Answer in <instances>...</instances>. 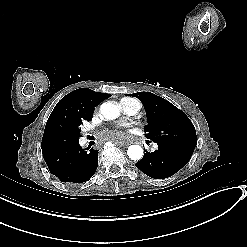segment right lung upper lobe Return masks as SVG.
Here are the masks:
<instances>
[{
	"label": "right lung upper lobe",
	"mask_w": 247,
	"mask_h": 247,
	"mask_svg": "<svg viewBox=\"0 0 247 247\" xmlns=\"http://www.w3.org/2000/svg\"><path fill=\"white\" fill-rule=\"evenodd\" d=\"M109 96L110 94L88 88L76 89L64 96L47 120L41 143L42 151L55 136L79 129L84 120L90 121L94 108Z\"/></svg>",
	"instance_id": "cb5924a9"
}]
</instances>
